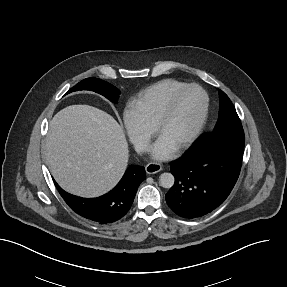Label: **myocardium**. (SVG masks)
I'll return each mask as SVG.
<instances>
[{"mask_svg": "<svg viewBox=\"0 0 287 287\" xmlns=\"http://www.w3.org/2000/svg\"><path fill=\"white\" fill-rule=\"evenodd\" d=\"M192 89L198 90L203 96V104H202L200 118L197 124L195 125V127L193 128V130L191 131V133L186 137V139L182 143H180L178 146L173 148L175 152H181L185 150L186 148H188L197 139V137L200 135V133L202 132L206 124L207 117H208V110H209V98L205 90L197 84H187L183 86L182 88L178 89L177 91H175L169 97L164 109L162 110L153 128L154 134L158 138L162 128L164 127V125L166 124V122L168 121V119L170 118L173 112V108H174V105L177 99L183 93H185L188 90H192Z\"/></svg>", "mask_w": 287, "mask_h": 287, "instance_id": "myocardium-1", "label": "myocardium"}]
</instances>
